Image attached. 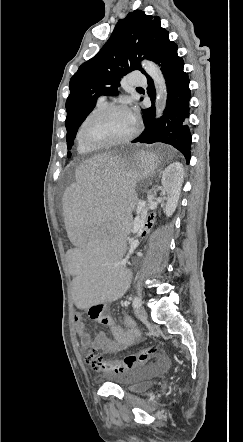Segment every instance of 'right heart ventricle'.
Listing matches in <instances>:
<instances>
[{
  "label": "right heart ventricle",
  "instance_id": "1",
  "mask_svg": "<svg viewBox=\"0 0 243 442\" xmlns=\"http://www.w3.org/2000/svg\"><path fill=\"white\" fill-rule=\"evenodd\" d=\"M103 107H105V102L98 101V102L95 104V106L92 108V110L88 113V115L86 116V118H87L89 115L93 114L94 112L100 110V109L103 108ZM86 118H85V119H86ZM85 119H84V120H85ZM84 120H83V121H84ZM82 123H83V122H82ZM82 123H81V125H82ZM81 125H80V127H81ZM80 127L78 128L77 135H76V140H77V142H76V148H77V151H78L79 153H81V154L89 153V152L91 151V149L87 148V147L81 142V140H80V137H79Z\"/></svg>",
  "mask_w": 243,
  "mask_h": 442
}]
</instances>
